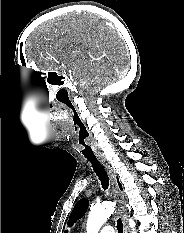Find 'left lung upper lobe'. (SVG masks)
<instances>
[{
  "label": "left lung upper lobe",
  "instance_id": "obj_1",
  "mask_svg": "<svg viewBox=\"0 0 184 233\" xmlns=\"http://www.w3.org/2000/svg\"><path fill=\"white\" fill-rule=\"evenodd\" d=\"M88 205H89V202L85 198L79 200L75 204L74 209L71 213V223H73V221H76L77 219H80L84 215V213L86 212L88 208Z\"/></svg>",
  "mask_w": 184,
  "mask_h": 233
}]
</instances>
